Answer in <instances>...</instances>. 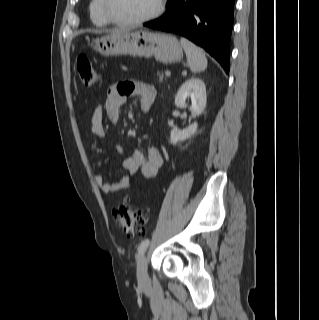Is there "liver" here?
<instances>
[{
  "label": "liver",
  "instance_id": "obj_1",
  "mask_svg": "<svg viewBox=\"0 0 319 320\" xmlns=\"http://www.w3.org/2000/svg\"><path fill=\"white\" fill-rule=\"evenodd\" d=\"M124 31H129V30H127V29H116L112 33H120V32H124Z\"/></svg>",
  "mask_w": 319,
  "mask_h": 320
}]
</instances>
